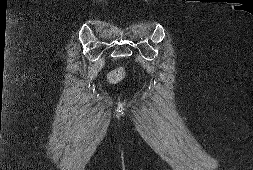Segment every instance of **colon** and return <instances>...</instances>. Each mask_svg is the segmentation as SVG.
<instances>
[{
  "label": "colon",
  "mask_w": 253,
  "mask_h": 170,
  "mask_svg": "<svg viewBox=\"0 0 253 170\" xmlns=\"http://www.w3.org/2000/svg\"><path fill=\"white\" fill-rule=\"evenodd\" d=\"M125 76V71L123 68H118L112 71L109 76L108 80L110 83L116 84L119 83Z\"/></svg>",
  "instance_id": "colon-1"
}]
</instances>
